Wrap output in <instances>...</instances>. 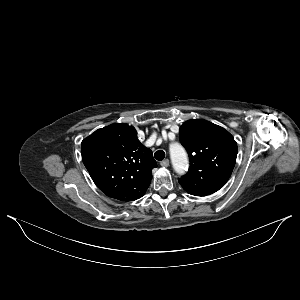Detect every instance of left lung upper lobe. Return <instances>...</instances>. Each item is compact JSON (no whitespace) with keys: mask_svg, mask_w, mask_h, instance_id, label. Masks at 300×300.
<instances>
[{"mask_svg":"<svg viewBox=\"0 0 300 300\" xmlns=\"http://www.w3.org/2000/svg\"><path fill=\"white\" fill-rule=\"evenodd\" d=\"M179 134L190 158L188 173L178 179L183 189L195 196L210 195L221 189L236 162L237 143L233 136L201 119L186 121Z\"/></svg>","mask_w":300,"mask_h":300,"instance_id":"5c2ea615","label":"left lung upper lobe"}]
</instances>
